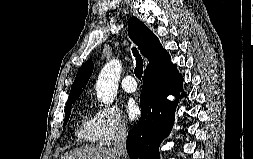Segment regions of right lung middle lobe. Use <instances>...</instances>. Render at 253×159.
<instances>
[{
    "mask_svg": "<svg viewBox=\"0 0 253 159\" xmlns=\"http://www.w3.org/2000/svg\"><path fill=\"white\" fill-rule=\"evenodd\" d=\"M75 101H76V99H72V100L67 101V103H66L64 126L66 125V123L68 122V119H69V117H70L71 105H72Z\"/></svg>",
    "mask_w": 253,
    "mask_h": 159,
    "instance_id": "dd1d6c3e",
    "label": "right lung middle lobe"
}]
</instances>
